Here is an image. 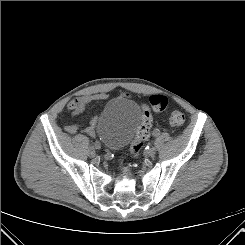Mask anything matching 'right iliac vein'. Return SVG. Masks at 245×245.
Masks as SVG:
<instances>
[{
    "label": "right iliac vein",
    "instance_id": "obj_1",
    "mask_svg": "<svg viewBox=\"0 0 245 245\" xmlns=\"http://www.w3.org/2000/svg\"><path fill=\"white\" fill-rule=\"evenodd\" d=\"M93 146H94V145H91V146L89 147V149H88V155H89L90 157H94V156H95V149H94Z\"/></svg>",
    "mask_w": 245,
    "mask_h": 245
}]
</instances>
